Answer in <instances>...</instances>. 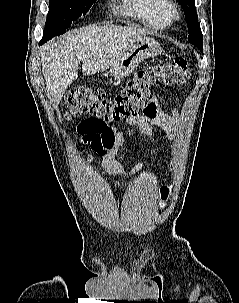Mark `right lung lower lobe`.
<instances>
[{"mask_svg":"<svg viewBox=\"0 0 239 303\" xmlns=\"http://www.w3.org/2000/svg\"><path fill=\"white\" fill-rule=\"evenodd\" d=\"M49 39H50L49 37L43 36V39L41 40V42L39 43V45L43 44L45 41H47Z\"/></svg>","mask_w":239,"mask_h":303,"instance_id":"right-lung-lower-lobe-1","label":"right lung lower lobe"}]
</instances>
